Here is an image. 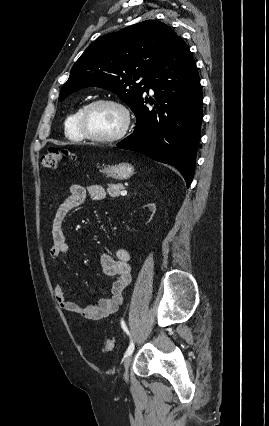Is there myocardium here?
<instances>
[{"label": "myocardium", "instance_id": "myocardium-1", "mask_svg": "<svg viewBox=\"0 0 269 426\" xmlns=\"http://www.w3.org/2000/svg\"><path fill=\"white\" fill-rule=\"evenodd\" d=\"M97 105H110L117 108L121 112L123 122H122L121 128L116 133L112 135H107V136H100V135H95L88 130L87 124H86L87 114L92 107ZM130 125H131V115L128 108L123 103L117 100L108 99V98H98V99H94L90 101L83 107L79 117V127L81 129V132L84 138L92 140V141H96V142H101V143H113V142H117L121 140L128 133Z\"/></svg>", "mask_w": 269, "mask_h": 426}]
</instances>
